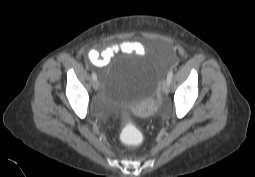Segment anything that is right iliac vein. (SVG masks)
Here are the masks:
<instances>
[{
    "label": "right iliac vein",
    "mask_w": 255,
    "mask_h": 177,
    "mask_svg": "<svg viewBox=\"0 0 255 177\" xmlns=\"http://www.w3.org/2000/svg\"><path fill=\"white\" fill-rule=\"evenodd\" d=\"M92 85H93V89L95 91H97L99 89L100 84H99L98 80H94Z\"/></svg>",
    "instance_id": "1"
}]
</instances>
